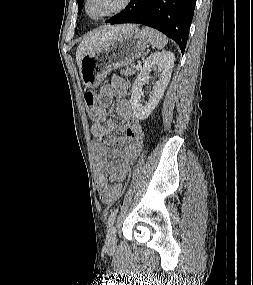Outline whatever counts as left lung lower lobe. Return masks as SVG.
Here are the masks:
<instances>
[{
  "instance_id": "obj_1",
  "label": "left lung lower lobe",
  "mask_w": 253,
  "mask_h": 285,
  "mask_svg": "<svg viewBox=\"0 0 253 285\" xmlns=\"http://www.w3.org/2000/svg\"><path fill=\"white\" fill-rule=\"evenodd\" d=\"M196 0H132L107 23H141L153 27L179 45L184 53Z\"/></svg>"
}]
</instances>
